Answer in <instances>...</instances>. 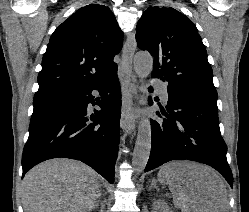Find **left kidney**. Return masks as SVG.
Returning a JSON list of instances; mask_svg holds the SVG:
<instances>
[{
    "mask_svg": "<svg viewBox=\"0 0 249 212\" xmlns=\"http://www.w3.org/2000/svg\"><path fill=\"white\" fill-rule=\"evenodd\" d=\"M163 210H165V208H160V210H158V212H163Z\"/></svg>",
    "mask_w": 249,
    "mask_h": 212,
    "instance_id": "5707ae66",
    "label": "left kidney"
}]
</instances>
